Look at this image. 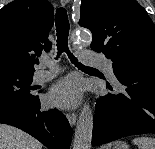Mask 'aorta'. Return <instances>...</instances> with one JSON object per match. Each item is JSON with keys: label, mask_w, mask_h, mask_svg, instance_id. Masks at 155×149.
Wrapping results in <instances>:
<instances>
[{"label": "aorta", "mask_w": 155, "mask_h": 149, "mask_svg": "<svg viewBox=\"0 0 155 149\" xmlns=\"http://www.w3.org/2000/svg\"><path fill=\"white\" fill-rule=\"evenodd\" d=\"M91 39L90 32L83 29L76 31L72 36V42L74 44H90ZM92 131L93 112L89 104L85 103L79 113L73 149H91Z\"/></svg>", "instance_id": "aorta-1"}]
</instances>
